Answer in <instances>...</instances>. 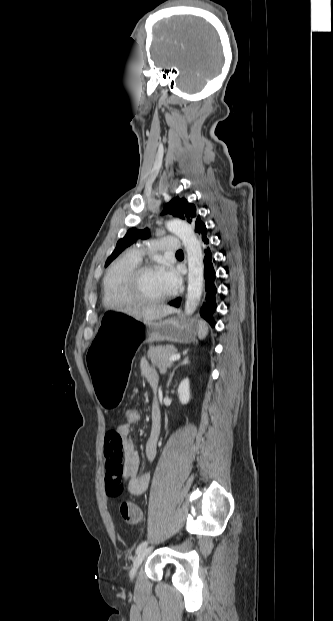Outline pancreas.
Returning <instances> with one entry per match:
<instances>
[{
  "instance_id": "1",
  "label": "pancreas",
  "mask_w": 333,
  "mask_h": 621,
  "mask_svg": "<svg viewBox=\"0 0 333 621\" xmlns=\"http://www.w3.org/2000/svg\"><path fill=\"white\" fill-rule=\"evenodd\" d=\"M177 353L174 346H150L147 357L151 360L153 366L157 367L160 372H165L173 365V362H169L168 358Z\"/></svg>"
}]
</instances>
